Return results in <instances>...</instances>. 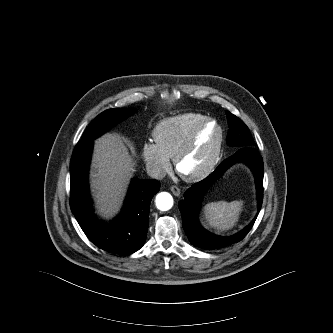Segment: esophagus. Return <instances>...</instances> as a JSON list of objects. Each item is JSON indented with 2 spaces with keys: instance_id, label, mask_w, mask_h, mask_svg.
<instances>
[{
  "instance_id": "1",
  "label": "esophagus",
  "mask_w": 333,
  "mask_h": 333,
  "mask_svg": "<svg viewBox=\"0 0 333 333\" xmlns=\"http://www.w3.org/2000/svg\"><path fill=\"white\" fill-rule=\"evenodd\" d=\"M170 190L175 196H180L181 190L177 186H171Z\"/></svg>"
}]
</instances>
